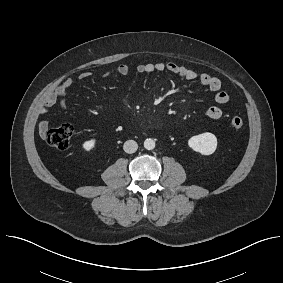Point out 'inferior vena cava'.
<instances>
[{
  "label": "inferior vena cava",
  "mask_w": 283,
  "mask_h": 283,
  "mask_svg": "<svg viewBox=\"0 0 283 283\" xmlns=\"http://www.w3.org/2000/svg\"><path fill=\"white\" fill-rule=\"evenodd\" d=\"M123 149L126 153L132 154L137 151L138 144L134 140H127L123 145Z\"/></svg>",
  "instance_id": "1"
}]
</instances>
